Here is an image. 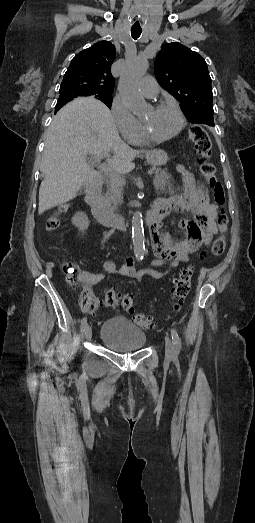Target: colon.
<instances>
[{
  "label": "colon",
  "instance_id": "5ec220e1",
  "mask_svg": "<svg viewBox=\"0 0 255 523\" xmlns=\"http://www.w3.org/2000/svg\"><path fill=\"white\" fill-rule=\"evenodd\" d=\"M189 138L195 146L197 154V162L200 167V172L207 184L212 188L213 198L218 207L217 225L219 228V236L214 240L211 246V252L214 255H220L225 248V232L228 228L229 218L225 209V191L222 184L218 181L216 176V167L210 161L212 152V143L207 131L195 125L189 129ZM68 210V205H61L56 212H54L46 222V230L54 232L60 227L61 215ZM203 255H201L202 257ZM67 282L75 285L82 282L81 272L74 262H68L63 267ZM194 268L189 265L183 268L177 279H175L172 287V298L174 301V308L179 309L182 302L188 295L190 290L191 280L193 277ZM104 303L107 307H122L124 310L131 312L134 307V297L131 293H125L120 296L115 291H108L105 295ZM82 307L89 312H93L97 308L96 299L84 289L81 295ZM135 323L142 328L153 327V321L150 316L146 314H136L134 316Z\"/></svg>",
  "mask_w": 255,
  "mask_h": 523
}]
</instances>
